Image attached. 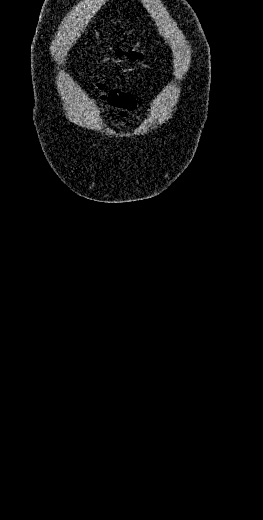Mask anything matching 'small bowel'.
<instances>
[{
    "instance_id": "small-bowel-1",
    "label": "small bowel",
    "mask_w": 263,
    "mask_h": 520,
    "mask_svg": "<svg viewBox=\"0 0 263 520\" xmlns=\"http://www.w3.org/2000/svg\"><path fill=\"white\" fill-rule=\"evenodd\" d=\"M98 89L101 90L100 100L114 107L119 117L125 118L136 108V100L133 95L122 92L119 89L104 92V85L102 83L98 84Z\"/></svg>"
}]
</instances>
